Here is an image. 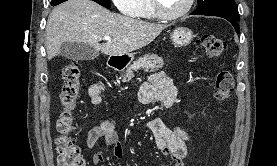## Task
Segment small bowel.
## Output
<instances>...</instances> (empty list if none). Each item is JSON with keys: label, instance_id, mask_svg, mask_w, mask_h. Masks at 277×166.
<instances>
[{"label": "small bowel", "instance_id": "c3829d8e", "mask_svg": "<svg viewBox=\"0 0 277 166\" xmlns=\"http://www.w3.org/2000/svg\"><path fill=\"white\" fill-rule=\"evenodd\" d=\"M102 91L103 85L100 82L90 86L88 93L93 104L101 103ZM139 97L144 103L162 102L165 106L171 107L176 101L177 90L172 80L164 72H156L150 76L149 83L141 87ZM149 129L162 154L169 157L174 166H184L183 160L187 156L189 142L186 130L182 127L172 130L159 118L149 122ZM100 139L112 147L115 157H122V146L118 141L115 125L109 118H102L96 126L90 129L86 138L87 147L93 149ZM103 159L104 155L101 152L93 155L94 164L101 163Z\"/></svg>", "mask_w": 277, "mask_h": 166}]
</instances>
